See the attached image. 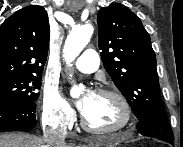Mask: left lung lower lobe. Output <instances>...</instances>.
Masks as SVG:
<instances>
[{"instance_id": "obj_1", "label": "left lung lower lobe", "mask_w": 183, "mask_h": 147, "mask_svg": "<svg viewBox=\"0 0 183 147\" xmlns=\"http://www.w3.org/2000/svg\"><path fill=\"white\" fill-rule=\"evenodd\" d=\"M137 131L148 137L158 138L174 145V135L167 118L146 117L139 120Z\"/></svg>"}]
</instances>
